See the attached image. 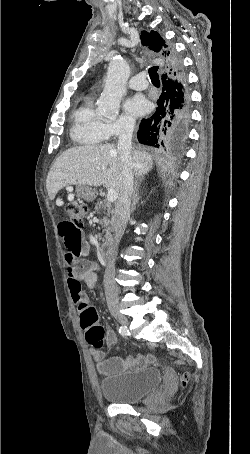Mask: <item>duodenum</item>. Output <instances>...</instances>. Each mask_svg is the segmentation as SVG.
<instances>
[{"label":"duodenum","instance_id":"duodenum-1","mask_svg":"<svg viewBox=\"0 0 250 454\" xmlns=\"http://www.w3.org/2000/svg\"><path fill=\"white\" fill-rule=\"evenodd\" d=\"M102 258L105 262H110L113 254V247L109 242L104 243L101 246Z\"/></svg>","mask_w":250,"mask_h":454}]
</instances>
